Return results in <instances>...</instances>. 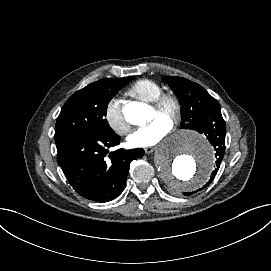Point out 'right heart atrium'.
<instances>
[{
    "mask_svg": "<svg viewBox=\"0 0 271 271\" xmlns=\"http://www.w3.org/2000/svg\"><path fill=\"white\" fill-rule=\"evenodd\" d=\"M122 99L115 94L108 98L104 106V120L108 126L119 135L129 131V121L122 109Z\"/></svg>",
    "mask_w": 271,
    "mask_h": 271,
    "instance_id": "1",
    "label": "right heart atrium"
}]
</instances>
